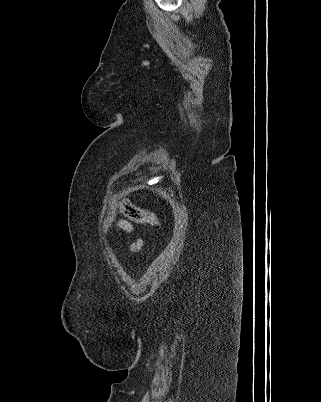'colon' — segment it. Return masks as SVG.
Here are the masks:
<instances>
[{
    "label": "colon",
    "mask_w": 321,
    "mask_h": 402,
    "mask_svg": "<svg viewBox=\"0 0 321 402\" xmlns=\"http://www.w3.org/2000/svg\"><path fill=\"white\" fill-rule=\"evenodd\" d=\"M119 210L124 213L131 221L138 224H146L161 228V222L158 216L145 208H141L133 204L128 199H122L118 202Z\"/></svg>",
    "instance_id": "5ec220e1"
}]
</instances>
